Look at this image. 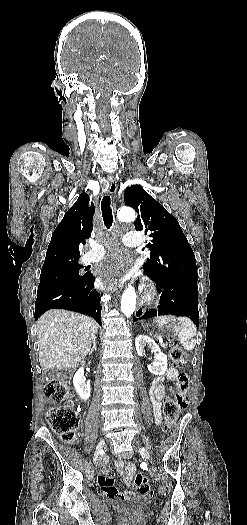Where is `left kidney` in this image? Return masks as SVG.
<instances>
[{
  "label": "left kidney",
  "mask_w": 247,
  "mask_h": 525,
  "mask_svg": "<svg viewBox=\"0 0 247 525\" xmlns=\"http://www.w3.org/2000/svg\"><path fill=\"white\" fill-rule=\"evenodd\" d=\"M146 345L151 349V353H154V363L148 365L150 373H153V375H164L167 369V357L165 353H162L153 339L146 337V335H138L135 339V347L140 357H143L144 347H146Z\"/></svg>",
  "instance_id": "5707ae66"
}]
</instances>
